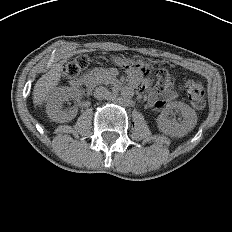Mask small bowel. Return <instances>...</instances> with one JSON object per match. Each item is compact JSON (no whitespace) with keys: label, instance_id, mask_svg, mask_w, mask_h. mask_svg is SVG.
<instances>
[{"label":"small bowel","instance_id":"obj_1","mask_svg":"<svg viewBox=\"0 0 232 232\" xmlns=\"http://www.w3.org/2000/svg\"><path fill=\"white\" fill-rule=\"evenodd\" d=\"M141 88L145 92V96L150 104L155 105V106H160V102L157 100V97L155 96L154 92L151 90L150 84L148 81L146 80L142 81Z\"/></svg>","mask_w":232,"mask_h":232}]
</instances>
